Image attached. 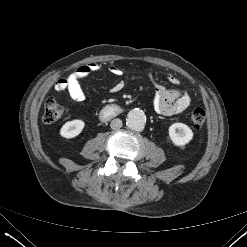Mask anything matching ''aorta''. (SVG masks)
Returning a JSON list of instances; mask_svg holds the SVG:
<instances>
[{"instance_id": "1", "label": "aorta", "mask_w": 247, "mask_h": 247, "mask_svg": "<svg viewBox=\"0 0 247 247\" xmlns=\"http://www.w3.org/2000/svg\"><path fill=\"white\" fill-rule=\"evenodd\" d=\"M145 122L146 115L141 109L135 108L128 112L126 124L129 128L140 131L144 128Z\"/></svg>"}]
</instances>
